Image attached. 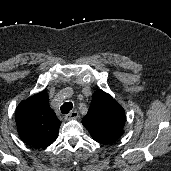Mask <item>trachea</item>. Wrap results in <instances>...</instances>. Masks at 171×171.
Instances as JSON below:
<instances>
[{
  "instance_id": "3493384b",
  "label": "trachea",
  "mask_w": 171,
  "mask_h": 171,
  "mask_svg": "<svg viewBox=\"0 0 171 171\" xmlns=\"http://www.w3.org/2000/svg\"><path fill=\"white\" fill-rule=\"evenodd\" d=\"M72 108H73V104L71 102H65L61 106L60 110H61L62 114H68L70 112V110H72Z\"/></svg>"
}]
</instances>
